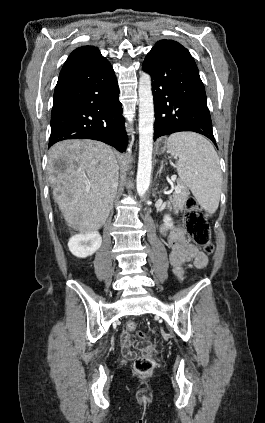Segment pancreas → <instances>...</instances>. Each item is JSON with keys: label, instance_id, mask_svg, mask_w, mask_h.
Returning <instances> with one entry per match:
<instances>
[{"label": "pancreas", "instance_id": "obj_1", "mask_svg": "<svg viewBox=\"0 0 265 423\" xmlns=\"http://www.w3.org/2000/svg\"><path fill=\"white\" fill-rule=\"evenodd\" d=\"M178 187L180 188L181 192H174L173 195L169 197L168 201V208H173L176 213L183 210L186 198L189 194L188 189L184 187L181 182L178 183Z\"/></svg>", "mask_w": 265, "mask_h": 423}]
</instances>
